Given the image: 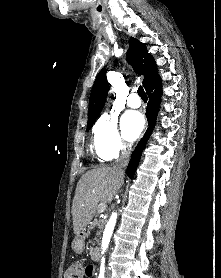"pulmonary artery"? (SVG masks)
<instances>
[{"label": "pulmonary artery", "mask_w": 221, "mask_h": 278, "mask_svg": "<svg viewBox=\"0 0 221 278\" xmlns=\"http://www.w3.org/2000/svg\"><path fill=\"white\" fill-rule=\"evenodd\" d=\"M126 103L131 108H139L141 106V100L136 93L129 94Z\"/></svg>", "instance_id": "pulmonary-artery-1"}]
</instances>
